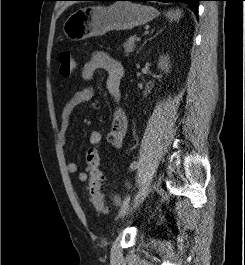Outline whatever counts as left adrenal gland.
Here are the masks:
<instances>
[{
	"mask_svg": "<svg viewBox=\"0 0 245 265\" xmlns=\"http://www.w3.org/2000/svg\"><path fill=\"white\" fill-rule=\"evenodd\" d=\"M163 31V29H161L158 33H156V35H158L160 32H162ZM155 37V36H154Z\"/></svg>",
	"mask_w": 245,
	"mask_h": 265,
	"instance_id": "obj_1",
	"label": "left adrenal gland"
}]
</instances>
